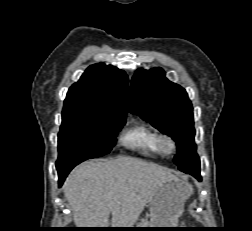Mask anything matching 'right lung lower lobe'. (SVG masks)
Segmentation results:
<instances>
[{
	"mask_svg": "<svg viewBox=\"0 0 252 231\" xmlns=\"http://www.w3.org/2000/svg\"><path fill=\"white\" fill-rule=\"evenodd\" d=\"M77 164H73L70 165L68 167L62 168V169H58V175H59V185L61 186L66 178V176L68 175V173L76 166Z\"/></svg>",
	"mask_w": 252,
	"mask_h": 231,
	"instance_id": "98d812e1",
	"label": "right lung lower lobe"
}]
</instances>
